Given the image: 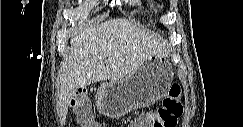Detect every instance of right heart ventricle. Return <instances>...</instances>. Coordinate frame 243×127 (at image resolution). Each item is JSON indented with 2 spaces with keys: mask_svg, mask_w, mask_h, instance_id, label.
<instances>
[{
  "mask_svg": "<svg viewBox=\"0 0 243 127\" xmlns=\"http://www.w3.org/2000/svg\"><path fill=\"white\" fill-rule=\"evenodd\" d=\"M146 7H147V10L151 13H155L158 10V6L152 2H149Z\"/></svg>",
  "mask_w": 243,
  "mask_h": 127,
  "instance_id": "obj_1",
  "label": "right heart ventricle"
}]
</instances>
